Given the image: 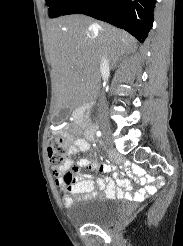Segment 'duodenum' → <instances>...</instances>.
Instances as JSON below:
<instances>
[{"instance_id":"obj_1","label":"duodenum","mask_w":183,"mask_h":246,"mask_svg":"<svg viewBox=\"0 0 183 246\" xmlns=\"http://www.w3.org/2000/svg\"><path fill=\"white\" fill-rule=\"evenodd\" d=\"M80 107V106H79ZM89 109V104H82L80 108H75V111H70V116H74L75 120L86 127V136L90 141H95L94 127L90 124H86L85 111Z\"/></svg>"}]
</instances>
